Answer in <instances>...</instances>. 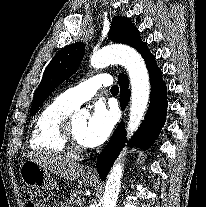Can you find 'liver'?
<instances>
[{
    "label": "liver",
    "mask_w": 206,
    "mask_h": 207,
    "mask_svg": "<svg viewBox=\"0 0 206 207\" xmlns=\"http://www.w3.org/2000/svg\"><path fill=\"white\" fill-rule=\"evenodd\" d=\"M28 157L41 167L66 180L77 179L83 174V166L65 156L51 152H37Z\"/></svg>",
    "instance_id": "obj_1"
}]
</instances>
